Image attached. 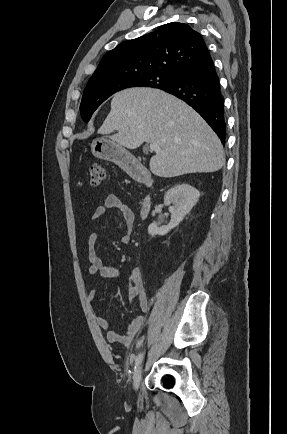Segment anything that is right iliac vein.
<instances>
[{"mask_svg": "<svg viewBox=\"0 0 287 434\" xmlns=\"http://www.w3.org/2000/svg\"><path fill=\"white\" fill-rule=\"evenodd\" d=\"M142 377V365L138 366L133 374V388L137 390Z\"/></svg>", "mask_w": 287, "mask_h": 434, "instance_id": "63e3f726", "label": "right iliac vein"}]
</instances>
